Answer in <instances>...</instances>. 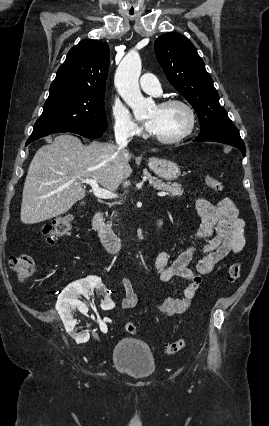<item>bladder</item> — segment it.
Segmentation results:
<instances>
[{
  "mask_svg": "<svg viewBox=\"0 0 269 426\" xmlns=\"http://www.w3.org/2000/svg\"><path fill=\"white\" fill-rule=\"evenodd\" d=\"M112 365L119 371L137 378L148 377L156 369L152 350L138 338L118 341L112 351Z\"/></svg>",
  "mask_w": 269,
  "mask_h": 426,
  "instance_id": "31cf9c89",
  "label": "bladder"
}]
</instances>
